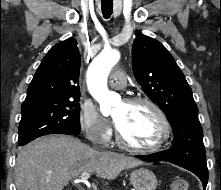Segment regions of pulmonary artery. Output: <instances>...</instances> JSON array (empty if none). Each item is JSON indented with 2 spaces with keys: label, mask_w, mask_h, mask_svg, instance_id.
<instances>
[{
  "label": "pulmonary artery",
  "mask_w": 221,
  "mask_h": 190,
  "mask_svg": "<svg viewBox=\"0 0 221 190\" xmlns=\"http://www.w3.org/2000/svg\"><path fill=\"white\" fill-rule=\"evenodd\" d=\"M110 85L114 88H123L126 85V75L122 70L114 71L110 76Z\"/></svg>",
  "instance_id": "obj_1"
}]
</instances>
